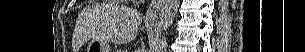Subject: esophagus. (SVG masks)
Masks as SVG:
<instances>
[{
  "label": "esophagus",
  "mask_w": 305,
  "mask_h": 52,
  "mask_svg": "<svg viewBox=\"0 0 305 52\" xmlns=\"http://www.w3.org/2000/svg\"><path fill=\"white\" fill-rule=\"evenodd\" d=\"M160 2L161 0H152L147 12H146V16L145 19L149 20V21H154L157 18L158 15V10L160 7Z\"/></svg>",
  "instance_id": "1"
}]
</instances>
